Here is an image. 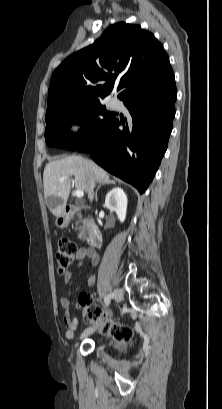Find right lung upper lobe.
Here are the masks:
<instances>
[{"mask_svg": "<svg viewBox=\"0 0 222 409\" xmlns=\"http://www.w3.org/2000/svg\"><path fill=\"white\" fill-rule=\"evenodd\" d=\"M172 72L163 45L151 32L119 22L57 67L49 86L47 112L100 102L115 86L120 100L156 91L164 86L160 76Z\"/></svg>", "mask_w": 222, "mask_h": 409, "instance_id": "obj_1", "label": "right lung upper lobe"}]
</instances>
